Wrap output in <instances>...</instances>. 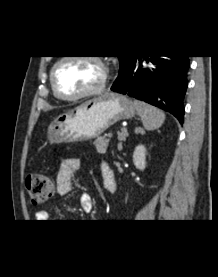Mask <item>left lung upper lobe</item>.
Returning <instances> with one entry per match:
<instances>
[{
	"mask_svg": "<svg viewBox=\"0 0 218 277\" xmlns=\"http://www.w3.org/2000/svg\"><path fill=\"white\" fill-rule=\"evenodd\" d=\"M118 57L120 60V71H122L133 56L127 55Z\"/></svg>",
	"mask_w": 218,
	"mask_h": 277,
	"instance_id": "obj_1",
	"label": "left lung upper lobe"
}]
</instances>
